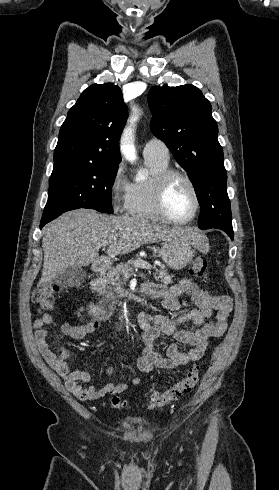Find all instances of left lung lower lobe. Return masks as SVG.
<instances>
[{
	"label": "left lung lower lobe",
	"mask_w": 279,
	"mask_h": 490,
	"mask_svg": "<svg viewBox=\"0 0 279 490\" xmlns=\"http://www.w3.org/2000/svg\"><path fill=\"white\" fill-rule=\"evenodd\" d=\"M225 232L230 236L231 239H233V229L232 228L227 229Z\"/></svg>",
	"instance_id": "0a47b994"
}]
</instances>
